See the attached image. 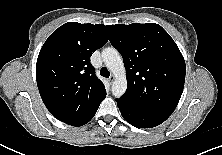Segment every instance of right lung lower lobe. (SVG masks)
I'll list each match as a JSON object with an SVG mask.
<instances>
[{
  "instance_id": "right-lung-lower-lobe-1",
  "label": "right lung lower lobe",
  "mask_w": 222,
  "mask_h": 155,
  "mask_svg": "<svg viewBox=\"0 0 222 155\" xmlns=\"http://www.w3.org/2000/svg\"><path fill=\"white\" fill-rule=\"evenodd\" d=\"M98 107H99V106H98ZM98 107L95 108L93 111H91V112H90L89 114H87L86 116L81 117L80 119L75 120V121H72V122L68 121V123H69L70 125H73V126H82V125L86 124L87 122H89V121L94 117V115H95ZM68 123H67V124H68Z\"/></svg>"
}]
</instances>
